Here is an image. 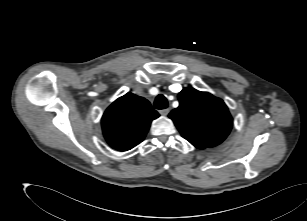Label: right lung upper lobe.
Listing matches in <instances>:
<instances>
[{
  "mask_svg": "<svg viewBox=\"0 0 307 221\" xmlns=\"http://www.w3.org/2000/svg\"><path fill=\"white\" fill-rule=\"evenodd\" d=\"M158 117L145 98L127 93L105 111L103 135L112 148L127 151L143 141L152 120Z\"/></svg>",
  "mask_w": 307,
  "mask_h": 221,
  "instance_id": "1",
  "label": "right lung upper lobe"
}]
</instances>
